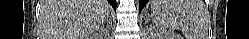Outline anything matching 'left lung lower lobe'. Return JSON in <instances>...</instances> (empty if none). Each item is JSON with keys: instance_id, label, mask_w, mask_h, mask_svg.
I'll use <instances>...</instances> for the list:
<instances>
[{"instance_id": "1", "label": "left lung lower lobe", "mask_w": 249, "mask_h": 39, "mask_svg": "<svg viewBox=\"0 0 249 39\" xmlns=\"http://www.w3.org/2000/svg\"><path fill=\"white\" fill-rule=\"evenodd\" d=\"M147 2L148 0H139V12H141L142 8L145 6Z\"/></svg>"}]
</instances>
